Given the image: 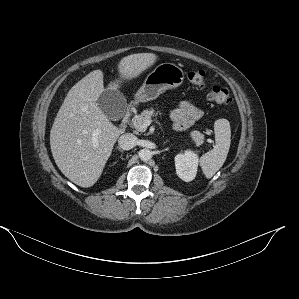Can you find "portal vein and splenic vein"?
Segmentation results:
<instances>
[{"label": "portal vein and splenic vein", "instance_id": "obj_1", "mask_svg": "<svg viewBox=\"0 0 299 299\" xmlns=\"http://www.w3.org/2000/svg\"><path fill=\"white\" fill-rule=\"evenodd\" d=\"M151 121L150 120H146L141 126V129H145L150 125Z\"/></svg>", "mask_w": 299, "mask_h": 299}]
</instances>
